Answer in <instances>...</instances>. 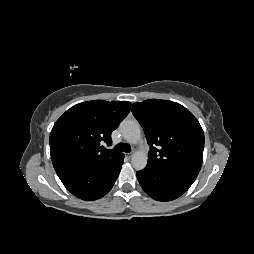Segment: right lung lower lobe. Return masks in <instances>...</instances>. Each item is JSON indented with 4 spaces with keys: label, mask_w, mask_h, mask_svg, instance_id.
Wrapping results in <instances>:
<instances>
[{
    "label": "right lung lower lobe",
    "mask_w": 254,
    "mask_h": 254,
    "mask_svg": "<svg viewBox=\"0 0 254 254\" xmlns=\"http://www.w3.org/2000/svg\"><path fill=\"white\" fill-rule=\"evenodd\" d=\"M124 155L96 164H77L56 171L74 196L87 201L103 197L113 187L123 164Z\"/></svg>",
    "instance_id": "1"
}]
</instances>
